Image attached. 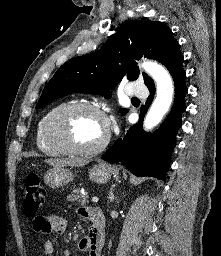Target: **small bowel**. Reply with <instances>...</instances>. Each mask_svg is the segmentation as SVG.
I'll use <instances>...</instances> for the list:
<instances>
[{
    "mask_svg": "<svg viewBox=\"0 0 221 256\" xmlns=\"http://www.w3.org/2000/svg\"><path fill=\"white\" fill-rule=\"evenodd\" d=\"M95 210V208H80L78 210L80 216L88 218L91 221L89 234L79 241V250L88 256H101V249L103 245V240L98 239L94 235L92 217ZM33 227L34 230L39 233L61 235L67 228V222L63 217L58 215L49 217L38 216L33 220ZM53 254V243L49 240L45 241L43 244V255L53 256Z\"/></svg>",
    "mask_w": 221,
    "mask_h": 256,
    "instance_id": "obj_1",
    "label": "small bowel"
}]
</instances>
